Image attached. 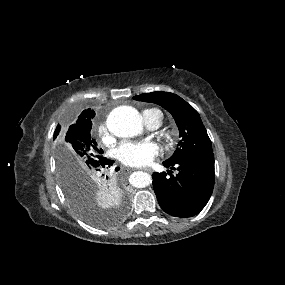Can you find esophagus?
<instances>
[{
    "mask_svg": "<svg viewBox=\"0 0 285 285\" xmlns=\"http://www.w3.org/2000/svg\"><path fill=\"white\" fill-rule=\"evenodd\" d=\"M143 170L148 172V173H152V169L151 168H144Z\"/></svg>",
    "mask_w": 285,
    "mask_h": 285,
    "instance_id": "1",
    "label": "esophagus"
}]
</instances>
